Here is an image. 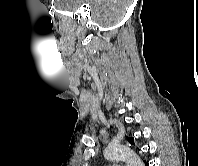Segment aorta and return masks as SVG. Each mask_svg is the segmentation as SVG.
Returning a JSON list of instances; mask_svg holds the SVG:
<instances>
[{
    "label": "aorta",
    "mask_w": 198,
    "mask_h": 166,
    "mask_svg": "<svg viewBox=\"0 0 198 166\" xmlns=\"http://www.w3.org/2000/svg\"><path fill=\"white\" fill-rule=\"evenodd\" d=\"M104 156L112 161H125L127 166H144L140 157L130 148L122 145H109Z\"/></svg>",
    "instance_id": "762f6f07"
}]
</instances>
